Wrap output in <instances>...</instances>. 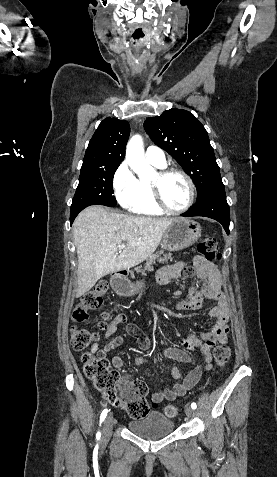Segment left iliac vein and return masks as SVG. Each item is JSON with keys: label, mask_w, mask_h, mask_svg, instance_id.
<instances>
[{"label": "left iliac vein", "mask_w": 277, "mask_h": 477, "mask_svg": "<svg viewBox=\"0 0 277 477\" xmlns=\"http://www.w3.org/2000/svg\"><path fill=\"white\" fill-rule=\"evenodd\" d=\"M185 414L187 415V417H192L194 415V409L191 408L190 406H186Z\"/></svg>", "instance_id": "left-iliac-vein-1"}]
</instances>
